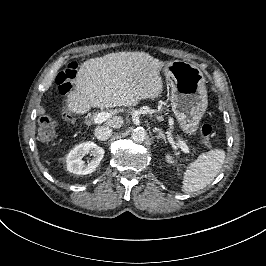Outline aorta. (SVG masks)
I'll return each instance as SVG.
<instances>
[{
    "label": "aorta",
    "instance_id": "aorta-1",
    "mask_svg": "<svg viewBox=\"0 0 266 266\" xmlns=\"http://www.w3.org/2000/svg\"><path fill=\"white\" fill-rule=\"evenodd\" d=\"M147 137V132L141 127L135 128L131 133V138L135 142H143Z\"/></svg>",
    "mask_w": 266,
    "mask_h": 266
}]
</instances>
